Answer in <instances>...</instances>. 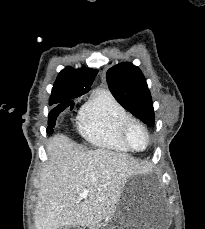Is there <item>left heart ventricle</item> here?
Instances as JSON below:
<instances>
[{
  "label": "left heart ventricle",
  "instance_id": "obj_1",
  "mask_svg": "<svg viewBox=\"0 0 205 229\" xmlns=\"http://www.w3.org/2000/svg\"><path fill=\"white\" fill-rule=\"evenodd\" d=\"M129 139L132 145L138 149H141L146 144V136L143 130L138 126H133L129 132Z\"/></svg>",
  "mask_w": 205,
  "mask_h": 229
}]
</instances>
